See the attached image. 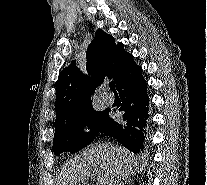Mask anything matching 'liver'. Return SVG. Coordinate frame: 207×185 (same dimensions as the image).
I'll use <instances>...</instances> for the list:
<instances>
[{
    "instance_id": "obj_1",
    "label": "liver",
    "mask_w": 207,
    "mask_h": 185,
    "mask_svg": "<svg viewBox=\"0 0 207 185\" xmlns=\"http://www.w3.org/2000/svg\"><path fill=\"white\" fill-rule=\"evenodd\" d=\"M98 165L103 171H99ZM138 165L137 157L125 147H114L110 143H94L89 149H84L81 155L68 161L63 185H76L77 181H82L85 175L92 171L98 177V185H116L118 177H133V171H137Z\"/></svg>"
}]
</instances>
